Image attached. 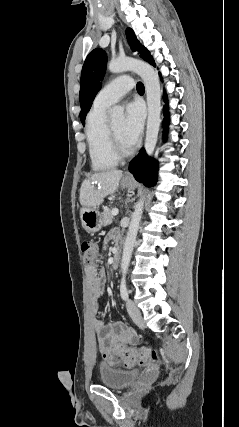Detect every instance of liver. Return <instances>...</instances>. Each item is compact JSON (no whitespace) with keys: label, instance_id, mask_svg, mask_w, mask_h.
I'll return each mask as SVG.
<instances>
[{"label":"liver","instance_id":"1","mask_svg":"<svg viewBox=\"0 0 239 427\" xmlns=\"http://www.w3.org/2000/svg\"><path fill=\"white\" fill-rule=\"evenodd\" d=\"M122 177V171L110 169L104 172L94 173L90 179L83 181L80 188V204L83 207L96 208L104 198L113 194ZM98 185V187H96Z\"/></svg>","mask_w":239,"mask_h":427}]
</instances>
